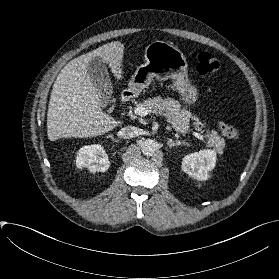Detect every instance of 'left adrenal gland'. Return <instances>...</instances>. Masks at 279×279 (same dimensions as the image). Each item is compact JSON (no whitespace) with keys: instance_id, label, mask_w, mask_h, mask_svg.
I'll list each match as a JSON object with an SVG mask.
<instances>
[{"instance_id":"a2214340","label":"left adrenal gland","mask_w":279,"mask_h":279,"mask_svg":"<svg viewBox=\"0 0 279 279\" xmlns=\"http://www.w3.org/2000/svg\"><path fill=\"white\" fill-rule=\"evenodd\" d=\"M169 148H172L174 146H180V145H188L187 142H185L184 140L180 141V140H176V141H173V140H168L167 142Z\"/></svg>"}]
</instances>
